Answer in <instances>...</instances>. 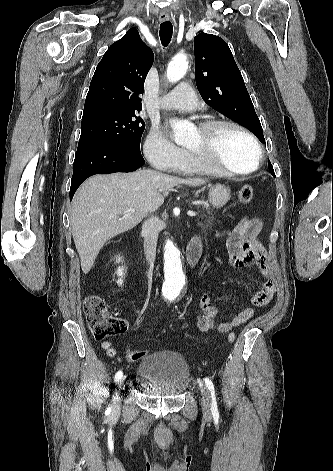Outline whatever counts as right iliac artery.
Listing matches in <instances>:
<instances>
[{
    "label": "right iliac artery",
    "mask_w": 333,
    "mask_h": 471,
    "mask_svg": "<svg viewBox=\"0 0 333 471\" xmlns=\"http://www.w3.org/2000/svg\"><path fill=\"white\" fill-rule=\"evenodd\" d=\"M123 376V372L122 371H118L114 377V380L115 382L119 381V379ZM108 411L110 412L111 411V408H108Z\"/></svg>",
    "instance_id": "obj_1"
}]
</instances>
